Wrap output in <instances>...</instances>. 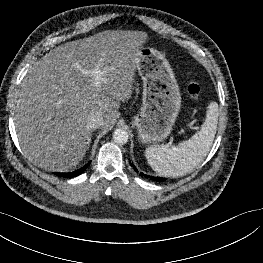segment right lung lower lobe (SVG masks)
<instances>
[{
	"label": "right lung lower lobe",
	"mask_w": 263,
	"mask_h": 263,
	"mask_svg": "<svg viewBox=\"0 0 263 263\" xmlns=\"http://www.w3.org/2000/svg\"><path fill=\"white\" fill-rule=\"evenodd\" d=\"M91 163V161H89L85 166H83L82 168L74 171V172H70V173H55L58 176L61 177H76L78 175H80L81 173H83L86 168L89 166V164Z\"/></svg>",
	"instance_id": "right-lung-lower-lobe-1"
}]
</instances>
